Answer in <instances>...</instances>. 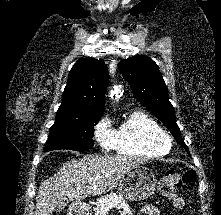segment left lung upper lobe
Listing matches in <instances>:
<instances>
[{
  "mask_svg": "<svg viewBox=\"0 0 221 215\" xmlns=\"http://www.w3.org/2000/svg\"><path fill=\"white\" fill-rule=\"evenodd\" d=\"M118 68L136 98L167 126L177 142L190 154L180 135L174 107L169 101L167 87L157 64L147 56L138 55L120 61Z\"/></svg>",
  "mask_w": 221,
  "mask_h": 215,
  "instance_id": "5c2ea615",
  "label": "left lung upper lobe"
}]
</instances>
